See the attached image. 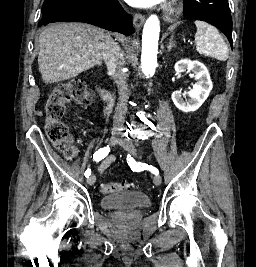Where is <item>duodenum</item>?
<instances>
[{
    "mask_svg": "<svg viewBox=\"0 0 256 267\" xmlns=\"http://www.w3.org/2000/svg\"><path fill=\"white\" fill-rule=\"evenodd\" d=\"M97 89H98L99 97L105 103V105L107 107V113H109L110 107H111L112 102H113V97H112L111 93H109L107 91V89L105 88V86L103 84L98 83Z\"/></svg>",
    "mask_w": 256,
    "mask_h": 267,
    "instance_id": "obj_1",
    "label": "duodenum"
}]
</instances>
